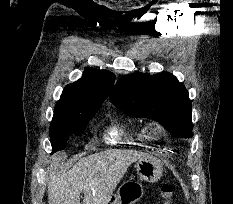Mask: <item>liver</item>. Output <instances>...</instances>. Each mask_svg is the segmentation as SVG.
<instances>
[{"mask_svg": "<svg viewBox=\"0 0 233 204\" xmlns=\"http://www.w3.org/2000/svg\"><path fill=\"white\" fill-rule=\"evenodd\" d=\"M147 154L134 150L110 149L81 158L68 171H60L63 153L53 155L49 167L48 203L107 204L128 167Z\"/></svg>", "mask_w": 233, "mask_h": 204, "instance_id": "6515ba94", "label": "liver"}]
</instances>
